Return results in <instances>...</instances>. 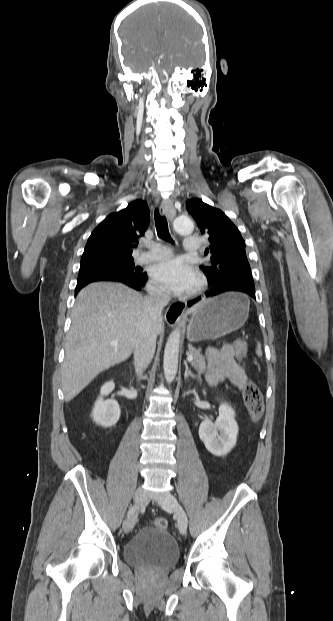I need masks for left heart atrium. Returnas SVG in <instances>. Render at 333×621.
I'll return each instance as SVG.
<instances>
[{
	"instance_id": "obj_1",
	"label": "left heart atrium",
	"mask_w": 333,
	"mask_h": 621,
	"mask_svg": "<svg viewBox=\"0 0 333 621\" xmlns=\"http://www.w3.org/2000/svg\"><path fill=\"white\" fill-rule=\"evenodd\" d=\"M151 277L163 289L177 294L192 291L198 281L196 272L177 258L167 259L154 265Z\"/></svg>"
}]
</instances>
